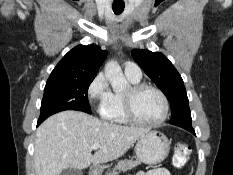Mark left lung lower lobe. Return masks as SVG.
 Wrapping results in <instances>:
<instances>
[{"label":"left lung lower lobe","mask_w":233,"mask_h":175,"mask_svg":"<svg viewBox=\"0 0 233 175\" xmlns=\"http://www.w3.org/2000/svg\"><path fill=\"white\" fill-rule=\"evenodd\" d=\"M186 130H188V131L191 132L192 134L196 135L193 128H188V129H186Z\"/></svg>","instance_id":"1"}]
</instances>
